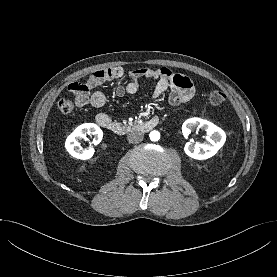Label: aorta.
Segmentation results:
<instances>
[{
    "instance_id": "762f6f07",
    "label": "aorta",
    "mask_w": 277,
    "mask_h": 277,
    "mask_svg": "<svg viewBox=\"0 0 277 277\" xmlns=\"http://www.w3.org/2000/svg\"><path fill=\"white\" fill-rule=\"evenodd\" d=\"M149 137L152 141H158L160 139V133L156 130L151 131Z\"/></svg>"
}]
</instances>
